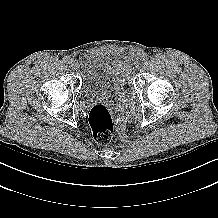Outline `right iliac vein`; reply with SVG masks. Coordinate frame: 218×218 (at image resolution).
Returning <instances> with one entry per match:
<instances>
[{
	"instance_id": "63e3f726",
	"label": "right iliac vein",
	"mask_w": 218,
	"mask_h": 218,
	"mask_svg": "<svg viewBox=\"0 0 218 218\" xmlns=\"http://www.w3.org/2000/svg\"><path fill=\"white\" fill-rule=\"evenodd\" d=\"M69 64H70V66H71V68H72L73 70H77V69L79 68L78 60L75 59V58H72V59L70 60Z\"/></svg>"
}]
</instances>
